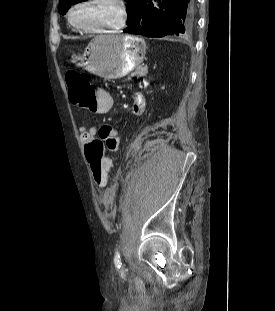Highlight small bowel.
Wrapping results in <instances>:
<instances>
[{"label":"small bowel","instance_id":"1","mask_svg":"<svg viewBox=\"0 0 275 311\" xmlns=\"http://www.w3.org/2000/svg\"><path fill=\"white\" fill-rule=\"evenodd\" d=\"M142 91L146 92L147 88L151 86L150 80L142 81ZM112 108L111 95L106 90H99L97 97L89 102L88 105L84 106L85 112H93L95 114H105ZM144 108V98L141 93L137 92L133 98V112L140 114ZM118 129L113 125H104L102 127L90 126L86 127L82 125L80 127V139L83 144L88 143L91 139L99 136L111 150H116L118 147Z\"/></svg>","mask_w":275,"mask_h":311}]
</instances>
